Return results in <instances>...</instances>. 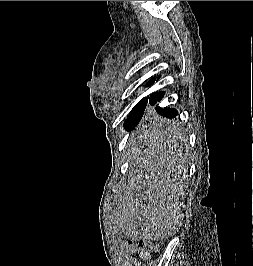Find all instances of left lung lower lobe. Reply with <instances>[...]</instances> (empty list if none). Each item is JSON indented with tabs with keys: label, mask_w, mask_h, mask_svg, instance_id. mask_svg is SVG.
<instances>
[{
	"label": "left lung lower lobe",
	"mask_w": 253,
	"mask_h": 266,
	"mask_svg": "<svg viewBox=\"0 0 253 266\" xmlns=\"http://www.w3.org/2000/svg\"><path fill=\"white\" fill-rule=\"evenodd\" d=\"M160 78V76H158V79ZM156 78L154 79L153 83L155 82ZM164 93L163 92H156L150 95L149 98V103L150 105H155L157 102H159L162 97H163ZM148 101V100H147ZM156 111L157 113H159L160 115L167 117V118H175L177 116V111L175 109L172 108H165V109H161L160 107H156ZM136 126V125H135ZM135 126H130V127H125L126 130H131L133 129ZM157 129L158 130H166L168 129V125L165 123H159V125H157Z\"/></svg>",
	"instance_id": "1"
}]
</instances>
